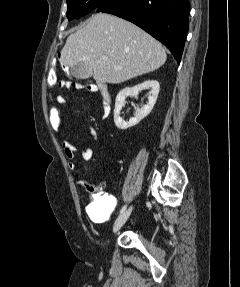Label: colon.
Here are the masks:
<instances>
[{"instance_id":"5ec220e1","label":"colon","mask_w":240,"mask_h":287,"mask_svg":"<svg viewBox=\"0 0 240 287\" xmlns=\"http://www.w3.org/2000/svg\"><path fill=\"white\" fill-rule=\"evenodd\" d=\"M47 84L50 87L58 86L60 89H87L89 85H81L72 81L58 80L57 72L54 67V63L47 75ZM66 105V100L62 95L50 93L49 94V106H48V117L51 127L55 131H60L64 127L65 123V112L64 107ZM97 186H91L90 189H96Z\"/></svg>"}]
</instances>
